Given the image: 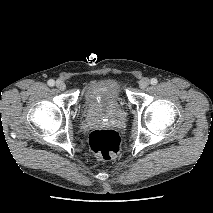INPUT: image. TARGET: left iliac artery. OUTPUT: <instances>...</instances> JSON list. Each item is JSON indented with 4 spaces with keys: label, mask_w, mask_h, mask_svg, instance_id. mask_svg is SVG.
Instances as JSON below:
<instances>
[{
    "label": "left iliac artery",
    "mask_w": 213,
    "mask_h": 213,
    "mask_svg": "<svg viewBox=\"0 0 213 213\" xmlns=\"http://www.w3.org/2000/svg\"><path fill=\"white\" fill-rule=\"evenodd\" d=\"M150 82L152 85H156L158 83V80L156 78H152Z\"/></svg>",
    "instance_id": "44dca946"
}]
</instances>
